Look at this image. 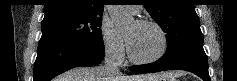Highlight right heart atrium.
I'll use <instances>...</instances> for the list:
<instances>
[{
    "label": "right heart atrium",
    "instance_id": "d8ad5b80",
    "mask_svg": "<svg viewBox=\"0 0 237 81\" xmlns=\"http://www.w3.org/2000/svg\"><path fill=\"white\" fill-rule=\"evenodd\" d=\"M101 33L106 55L116 61L122 60L125 55V42L123 37L117 33L109 21L102 23Z\"/></svg>",
    "mask_w": 237,
    "mask_h": 81
}]
</instances>
